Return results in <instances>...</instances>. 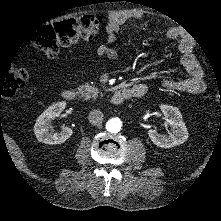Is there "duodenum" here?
<instances>
[{
    "instance_id": "duodenum-1",
    "label": "duodenum",
    "mask_w": 221,
    "mask_h": 221,
    "mask_svg": "<svg viewBox=\"0 0 221 221\" xmlns=\"http://www.w3.org/2000/svg\"><path fill=\"white\" fill-rule=\"evenodd\" d=\"M146 93V86L143 84L135 85L129 89L117 90L111 96V102L114 105H120L124 101L134 98L141 97ZM80 93L76 89H67L63 92V98L67 101H75L79 98Z\"/></svg>"
}]
</instances>
